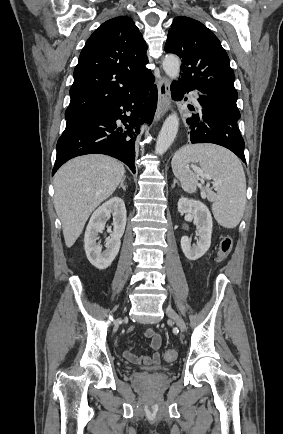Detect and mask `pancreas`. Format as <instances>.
Wrapping results in <instances>:
<instances>
[{
    "mask_svg": "<svg viewBox=\"0 0 283 434\" xmlns=\"http://www.w3.org/2000/svg\"><path fill=\"white\" fill-rule=\"evenodd\" d=\"M201 196L203 198L212 199L213 193H212V191L209 188L205 187V188L201 189Z\"/></svg>",
    "mask_w": 283,
    "mask_h": 434,
    "instance_id": "cf45deb5",
    "label": "pancreas"
}]
</instances>
